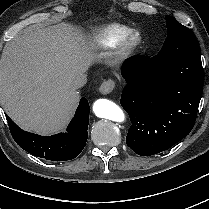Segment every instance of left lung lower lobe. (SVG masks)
Masks as SVG:
<instances>
[{"instance_id":"0a47b994","label":"left lung lower lobe","mask_w":209,"mask_h":209,"mask_svg":"<svg viewBox=\"0 0 209 209\" xmlns=\"http://www.w3.org/2000/svg\"><path fill=\"white\" fill-rule=\"evenodd\" d=\"M121 74L127 85L120 103L132 123L126 143L135 153H160L190 133L203 93L199 49L167 60L133 57Z\"/></svg>"}]
</instances>
